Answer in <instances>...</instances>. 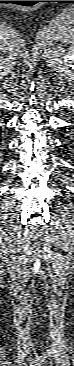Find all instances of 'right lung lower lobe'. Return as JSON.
<instances>
[{
  "mask_svg": "<svg viewBox=\"0 0 74 366\" xmlns=\"http://www.w3.org/2000/svg\"><path fill=\"white\" fill-rule=\"evenodd\" d=\"M1 134H2V129H1V127H0V146H1V143H2Z\"/></svg>",
  "mask_w": 74,
  "mask_h": 366,
  "instance_id": "right-lung-lower-lobe-1",
  "label": "right lung lower lobe"
}]
</instances>
